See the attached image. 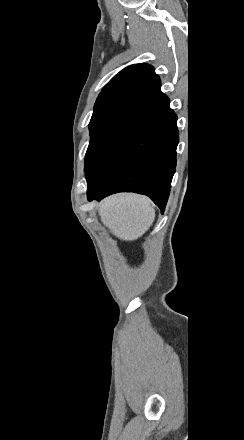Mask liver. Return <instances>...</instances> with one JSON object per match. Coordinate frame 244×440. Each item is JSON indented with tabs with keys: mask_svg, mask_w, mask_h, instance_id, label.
<instances>
[{
	"mask_svg": "<svg viewBox=\"0 0 244 440\" xmlns=\"http://www.w3.org/2000/svg\"><path fill=\"white\" fill-rule=\"evenodd\" d=\"M105 228L125 242L141 238L155 220V210L146 196L115 194L97 206Z\"/></svg>",
	"mask_w": 244,
	"mask_h": 440,
	"instance_id": "obj_1",
	"label": "liver"
}]
</instances>
